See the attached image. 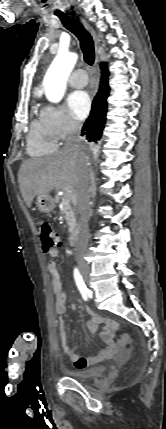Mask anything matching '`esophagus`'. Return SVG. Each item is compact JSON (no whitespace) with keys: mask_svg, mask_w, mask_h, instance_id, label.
I'll return each mask as SVG.
<instances>
[{"mask_svg":"<svg viewBox=\"0 0 166 429\" xmlns=\"http://www.w3.org/2000/svg\"><path fill=\"white\" fill-rule=\"evenodd\" d=\"M81 22L83 23V25L87 28V30L91 33L94 41H95V45H96V60H98L99 58V39L97 34L95 33V31L91 28V26L83 19L81 18Z\"/></svg>","mask_w":166,"mask_h":429,"instance_id":"esophagus-1","label":"esophagus"}]
</instances>
